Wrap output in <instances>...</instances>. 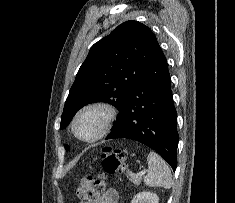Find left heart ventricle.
Masks as SVG:
<instances>
[{"instance_id": "b2bd125f", "label": "left heart ventricle", "mask_w": 235, "mask_h": 203, "mask_svg": "<svg viewBox=\"0 0 235 203\" xmlns=\"http://www.w3.org/2000/svg\"><path fill=\"white\" fill-rule=\"evenodd\" d=\"M104 122V113L100 110H89L77 121L78 134L83 138H91L98 134Z\"/></svg>"}]
</instances>
